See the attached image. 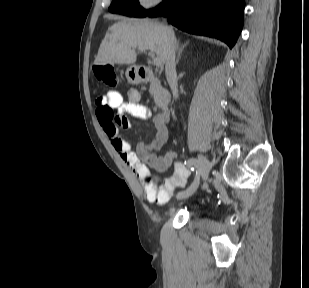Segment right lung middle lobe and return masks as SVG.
I'll return each mask as SVG.
<instances>
[{
	"instance_id": "right-lung-middle-lobe-1",
	"label": "right lung middle lobe",
	"mask_w": 309,
	"mask_h": 288,
	"mask_svg": "<svg viewBox=\"0 0 309 288\" xmlns=\"http://www.w3.org/2000/svg\"><path fill=\"white\" fill-rule=\"evenodd\" d=\"M109 11L130 17H145L152 10H145L138 0H113Z\"/></svg>"
}]
</instances>
